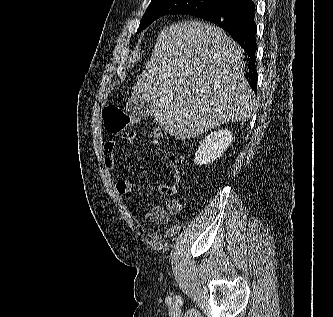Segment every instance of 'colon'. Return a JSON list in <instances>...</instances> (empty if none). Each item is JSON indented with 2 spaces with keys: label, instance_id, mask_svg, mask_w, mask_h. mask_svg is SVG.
Segmentation results:
<instances>
[{
  "label": "colon",
  "instance_id": "colon-1",
  "mask_svg": "<svg viewBox=\"0 0 333 317\" xmlns=\"http://www.w3.org/2000/svg\"><path fill=\"white\" fill-rule=\"evenodd\" d=\"M104 126L107 132L120 134L137 123V118L118 106H108L103 111Z\"/></svg>",
  "mask_w": 333,
  "mask_h": 317
}]
</instances>
